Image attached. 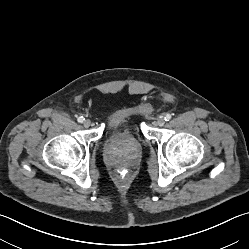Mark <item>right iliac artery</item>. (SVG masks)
I'll return each mask as SVG.
<instances>
[{"label": "right iliac artery", "mask_w": 249, "mask_h": 249, "mask_svg": "<svg viewBox=\"0 0 249 249\" xmlns=\"http://www.w3.org/2000/svg\"><path fill=\"white\" fill-rule=\"evenodd\" d=\"M84 117L83 116H80V117H78V119H77V121L79 122V123H83L84 122Z\"/></svg>", "instance_id": "1"}]
</instances>
